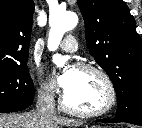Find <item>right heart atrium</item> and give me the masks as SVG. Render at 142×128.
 I'll return each mask as SVG.
<instances>
[{
    "label": "right heart atrium",
    "instance_id": "right-heart-atrium-1",
    "mask_svg": "<svg viewBox=\"0 0 142 128\" xmlns=\"http://www.w3.org/2000/svg\"><path fill=\"white\" fill-rule=\"evenodd\" d=\"M55 85L52 81L42 79L39 83L38 94L39 97L45 101H52L55 96Z\"/></svg>",
    "mask_w": 142,
    "mask_h": 128
}]
</instances>
